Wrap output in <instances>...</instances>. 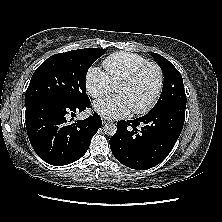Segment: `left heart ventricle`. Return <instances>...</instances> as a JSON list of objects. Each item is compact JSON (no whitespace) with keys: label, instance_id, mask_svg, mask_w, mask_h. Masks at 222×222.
I'll list each match as a JSON object with an SVG mask.
<instances>
[{"label":"left heart ventricle","instance_id":"1","mask_svg":"<svg viewBox=\"0 0 222 222\" xmlns=\"http://www.w3.org/2000/svg\"><path fill=\"white\" fill-rule=\"evenodd\" d=\"M158 82L157 72L154 68L146 69L131 84L117 87V92L128 100L132 109L143 106L154 94Z\"/></svg>","mask_w":222,"mask_h":222}]
</instances>
